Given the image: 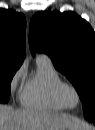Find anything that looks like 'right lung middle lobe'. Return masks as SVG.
<instances>
[{
    "label": "right lung middle lobe",
    "instance_id": "1",
    "mask_svg": "<svg viewBox=\"0 0 95 130\" xmlns=\"http://www.w3.org/2000/svg\"><path fill=\"white\" fill-rule=\"evenodd\" d=\"M19 67L0 66V102L6 103L10 97V82Z\"/></svg>",
    "mask_w": 95,
    "mask_h": 130
}]
</instances>
